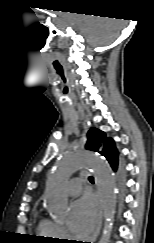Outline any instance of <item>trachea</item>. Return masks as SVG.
<instances>
[{
	"label": "trachea",
	"mask_w": 154,
	"mask_h": 243,
	"mask_svg": "<svg viewBox=\"0 0 154 243\" xmlns=\"http://www.w3.org/2000/svg\"><path fill=\"white\" fill-rule=\"evenodd\" d=\"M90 182H94V178L92 176L89 177Z\"/></svg>",
	"instance_id": "obj_1"
}]
</instances>
